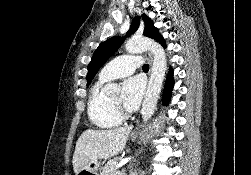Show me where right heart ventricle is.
Returning <instances> with one entry per match:
<instances>
[{"mask_svg": "<svg viewBox=\"0 0 251 175\" xmlns=\"http://www.w3.org/2000/svg\"><path fill=\"white\" fill-rule=\"evenodd\" d=\"M103 82L97 81L90 89L87 101V115L97 128H113L119 124V117L112 109L110 101L103 95Z\"/></svg>", "mask_w": 251, "mask_h": 175, "instance_id": "1", "label": "right heart ventricle"}]
</instances>
